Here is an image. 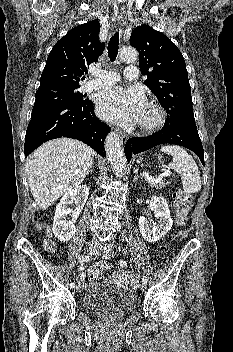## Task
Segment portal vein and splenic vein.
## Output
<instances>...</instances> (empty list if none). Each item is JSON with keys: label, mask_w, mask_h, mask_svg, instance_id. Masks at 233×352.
<instances>
[{"label": "portal vein and splenic vein", "mask_w": 233, "mask_h": 352, "mask_svg": "<svg viewBox=\"0 0 233 352\" xmlns=\"http://www.w3.org/2000/svg\"><path fill=\"white\" fill-rule=\"evenodd\" d=\"M148 181L150 182H160L164 177L170 176V173L168 171H165L164 173L160 174L159 176H156L155 178H153L152 176H150L147 173H143L142 174Z\"/></svg>", "instance_id": "portal-vein-and-splenic-vein-1"}]
</instances>
